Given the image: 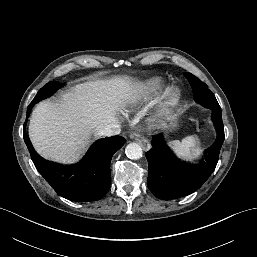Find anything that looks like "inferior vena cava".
<instances>
[{
    "mask_svg": "<svg viewBox=\"0 0 257 257\" xmlns=\"http://www.w3.org/2000/svg\"><path fill=\"white\" fill-rule=\"evenodd\" d=\"M121 132L120 126L117 123L107 125L100 133L104 136L119 135Z\"/></svg>",
    "mask_w": 257,
    "mask_h": 257,
    "instance_id": "obj_1",
    "label": "inferior vena cava"
}]
</instances>
